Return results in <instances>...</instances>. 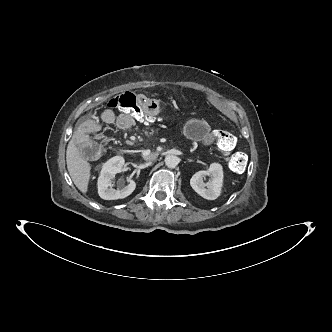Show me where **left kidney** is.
<instances>
[{
  "label": "left kidney",
  "instance_id": "1",
  "mask_svg": "<svg viewBox=\"0 0 332 332\" xmlns=\"http://www.w3.org/2000/svg\"><path fill=\"white\" fill-rule=\"evenodd\" d=\"M210 176V180L205 183L203 178ZM223 183V170L220 164L213 163L207 171L195 173L191 180V187L200 196L208 200H215L221 193Z\"/></svg>",
  "mask_w": 332,
  "mask_h": 332
}]
</instances>
